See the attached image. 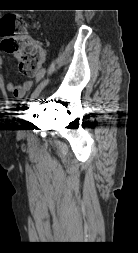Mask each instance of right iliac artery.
I'll list each match as a JSON object with an SVG mask.
<instances>
[{"mask_svg": "<svg viewBox=\"0 0 138 253\" xmlns=\"http://www.w3.org/2000/svg\"><path fill=\"white\" fill-rule=\"evenodd\" d=\"M45 74H47L46 68H43V70H40L39 73L36 74L37 82L41 81L42 78L45 77Z\"/></svg>", "mask_w": 138, "mask_h": 253, "instance_id": "82829eb1", "label": "right iliac artery"}]
</instances>
